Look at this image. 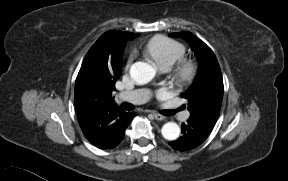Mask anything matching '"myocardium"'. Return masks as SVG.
Instances as JSON below:
<instances>
[{
	"instance_id": "f54148a6",
	"label": "myocardium",
	"mask_w": 288,
	"mask_h": 181,
	"mask_svg": "<svg viewBox=\"0 0 288 181\" xmlns=\"http://www.w3.org/2000/svg\"><path fill=\"white\" fill-rule=\"evenodd\" d=\"M174 78L177 84H190L197 75V64L192 60H182L174 68Z\"/></svg>"
}]
</instances>
